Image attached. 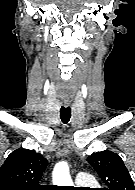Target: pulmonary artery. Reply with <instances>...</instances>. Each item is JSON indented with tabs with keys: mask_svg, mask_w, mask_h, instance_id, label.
<instances>
[{
	"mask_svg": "<svg viewBox=\"0 0 135 190\" xmlns=\"http://www.w3.org/2000/svg\"><path fill=\"white\" fill-rule=\"evenodd\" d=\"M75 183L80 186L91 185L93 183V178L86 172H79L75 176Z\"/></svg>",
	"mask_w": 135,
	"mask_h": 190,
	"instance_id": "1",
	"label": "pulmonary artery"
}]
</instances>
